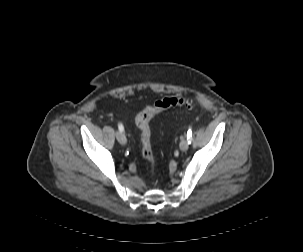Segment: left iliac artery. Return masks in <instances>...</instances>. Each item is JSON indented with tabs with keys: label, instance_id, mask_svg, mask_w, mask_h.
I'll return each instance as SVG.
<instances>
[{
	"label": "left iliac artery",
	"instance_id": "obj_1",
	"mask_svg": "<svg viewBox=\"0 0 303 252\" xmlns=\"http://www.w3.org/2000/svg\"><path fill=\"white\" fill-rule=\"evenodd\" d=\"M187 140H188L189 144L192 141V130H191V128H189V130L187 132Z\"/></svg>",
	"mask_w": 303,
	"mask_h": 252
}]
</instances>
